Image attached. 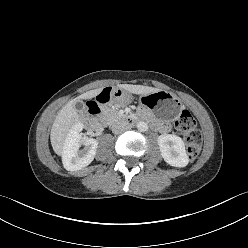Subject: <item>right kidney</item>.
<instances>
[{
	"mask_svg": "<svg viewBox=\"0 0 248 248\" xmlns=\"http://www.w3.org/2000/svg\"><path fill=\"white\" fill-rule=\"evenodd\" d=\"M82 128V123H76L68 133L64 143L62 162L68 171H78L88 166L96 155L97 140L88 137L82 138L79 133ZM82 145L84 149L80 150Z\"/></svg>",
	"mask_w": 248,
	"mask_h": 248,
	"instance_id": "obj_1",
	"label": "right kidney"
}]
</instances>
